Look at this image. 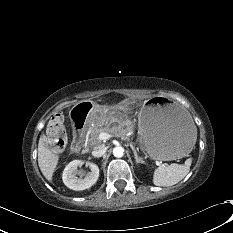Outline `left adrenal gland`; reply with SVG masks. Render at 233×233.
<instances>
[{
  "label": "left adrenal gland",
  "mask_w": 233,
  "mask_h": 233,
  "mask_svg": "<svg viewBox=\"0 0 233 233\" xmlns=\"http://www.w3.org/2000/svg\"><path fill=\"white\" fill-rule=\"evenodd\" d=\"M131 148H132V151L134 153V157H135L136 163H143V160L140 157H138V154H137L135 148L132 145H131Z\"/></svg>",
  "instance_id": "obj_1"
}]
</instances>
